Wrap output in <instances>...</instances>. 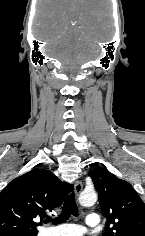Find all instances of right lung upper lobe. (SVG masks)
Wrapping results in <instances>:
<instances>
[{
	"mask_svg": "<svg viewBox=\"0 0 145 236\" xmlns=\"http://www.w3.org/2000/svg\"><path fill=\"white\" fill-rule=\"evenodd\" d=\"M72 189L47 170L15 178L0 193V236H36L35 220L49 218Z\"/></svg>",
	"mask_w": 145,
	"mask_h": 236,
	"instance_id": "1",
	"label": "right lung upper lobe"
}]
</instances>
